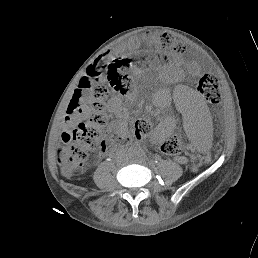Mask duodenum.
Returning <instances> with one entry per match:
<instances>
[{"label": "duodenum", "instance_id": "obj_1", "mask_svg": "<svg viewBox=\"0 0 258 258\" xmlns=\"http://www.w3.org/2000/svg\"><path fill=\"white\" fill-rule=\"evenodd\" d=\"M118 146H119V145H118ZM118 146H115V147L117 148ZM123 149H124L123 147L118 148V149L116 150V153L120 152V151L123 150Z\"/></svg>", "mask_w": 258, "mask_h": 258}]
</instances>
